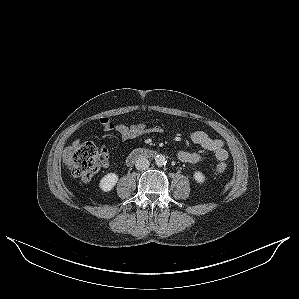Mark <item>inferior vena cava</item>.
Instances as JSON below:
<instances>
[{"label":"inferior vena cava","instance_id":"602c4592","mask_svg":"<svg viewBox=\"0 0 299 299\" xmlns=\"http://www.w3.org/2000/svg\"><path fill=\"white\" fill-rule=\"evenodd\" d=\"M150 162L148 159H146L145 157H138V159L136 160V164L135 167L137 170H145L149 167Z\"/></svg>","mask_w":299,"mask_h":299}]
</instances>
